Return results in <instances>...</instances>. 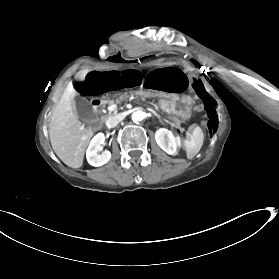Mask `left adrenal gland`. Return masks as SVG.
Wrapping results in <instances>:
<instances>
[{
    "label": "left adrenal gland",
    "mask_w": 279,
    "mask_h": 279,
    "mask_svg": "<svg viewBox=\"0 0 279 279\" xmlns=\"http://www.w3.org/2000/svg\"><path fill=\"white\" fill-rule=\"evenodd\" d=\"M156 116H157V117L159 118V120L161 121L160 115H159V114H157Z\"/></svg>",
    "instance_id": "1"
}]
</instances>
